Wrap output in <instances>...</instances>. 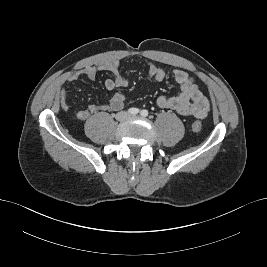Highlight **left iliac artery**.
Segmentation results:
<instances>
[{"mask_svg":"<svg viewBox=\"0 0 267 267\" xmlns=\"http://www.w3.org/2000/svg\"><path fill=\"white\" fill-rule=\"evenodd\" d=\"M140 114H141V116L146 117L148 115V111L147 110H142L140 112Z\"/></svg>","mask_w":267,"mask_h":267,"instance_id":"left-iliac-artery-1","label":"left iliac artery"}]
</instances>
